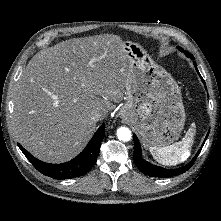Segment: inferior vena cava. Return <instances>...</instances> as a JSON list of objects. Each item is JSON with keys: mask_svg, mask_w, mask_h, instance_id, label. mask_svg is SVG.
I'll use <instances>...</instances> for the list:
<instances>
[{"mask_svg": "<svg viewBox=\"0 0 221 221\" xmlns=\"http://www.w3.org/2000/svg\"><path fill=\"white\" fill-rule=\"evenodd\" d=\"M102 116V113L97 110L92 111L90 114V118L95 122L101 120Z\"/></svg>", "mask_w": 221, "mask_h": 221, "instance_id": "1", "label": "inferior vena cava"}]
</instances>
